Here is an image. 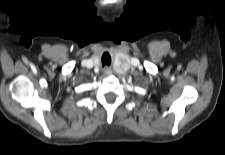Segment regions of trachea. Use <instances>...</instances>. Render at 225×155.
Here are the masks:
<instances>
[{"label":"trachea","instance_id":"trachea-1","mask_svg":"<svg viewBox=\"0 0 225 155\" xmlns=\"http://www.w3.org/2000/svg\"><path fill=\"white\" fill-rule=\"evenodd\" d=\"M111 63V58L109 56V54H104L102 56V65L105 66V65H110Z\"/></svg>","mask_w":225,"mask_h":155}]
</instances>
